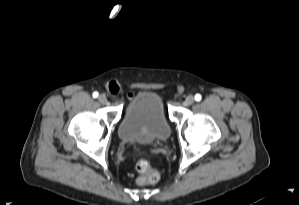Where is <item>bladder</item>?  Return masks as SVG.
Returning a JSON list of instances; mask_svg holds the SVG:
<instances>
[{
  "instance_id": "bladder-1",
  "label": "bladder",
  "mask_w": 299,
  "mask_h": 205,
  "mask_svg": "<svg viewBox=\"0 0 299 205\" xmlns=\"http://www.w3.org/2000/svg\"><path fill=\"white\" fill-rule=\"evenodd\" d=\"M124 142L150 144L165 142L171 128L159 95L141 92L128 103L118 127Z\"/></svg>"
}]
</instances>
